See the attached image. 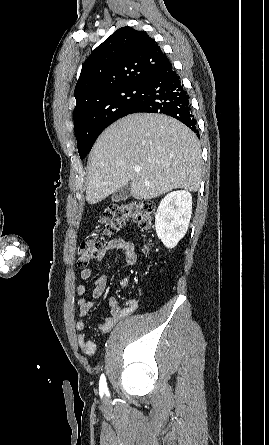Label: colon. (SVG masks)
I'll return each mask as SVG.
<instances>
[{"instance_id": "colon-1", "label": "colon", "mask_w": 269, "mask_h": 445, "mask_svg": "<svg viewBox=\"0 0 269 445\" xmlns=\"http://www.w3.org/2000/svg\"><path fill=\"white\" fill-rule=\"evenodd\" d=\"M155 207L151 201L131 200L110 205L100 218L103 226L99 237H90L82 241L77 249L78 266L86 268L98 259L106 237L119 231L126 223L136 222L143 230H150L153 225Z\"/></svg>"}]
</instances>
